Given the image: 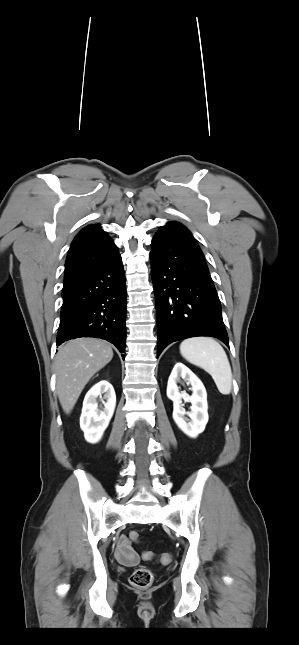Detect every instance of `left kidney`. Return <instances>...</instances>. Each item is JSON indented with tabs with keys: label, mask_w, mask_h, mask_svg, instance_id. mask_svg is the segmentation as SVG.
<instances>
[{
	"label": "left kidney",
	"mask_w": 299,
	"mask_h": 645,
	"mask_svg": "<svg viewBox=\"0 0 299 645\" xmlns=\"http://www.w3.org/2000/svg\"><path fill=\"white\" fill-rule=\"evenodd\" d=\"M180 378L192 386V395L179 392L177 383ZM167 397L173 401V419L177 426L189 437L195 438L202 433L208 422L207 393L199 378L183 363L175 364L167 385ZM184 401L191 402V412H186L182 405ZM188 416V419L185 416Z\"/></svg>",
	"instance_id": "obj_1"
}]
</instances>
